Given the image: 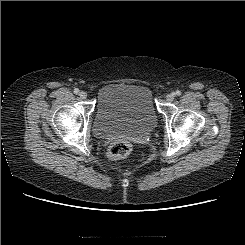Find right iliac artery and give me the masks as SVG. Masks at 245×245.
Returning <instances> with one entry per match:
<instances>
[{
    "instance_id": "right-iliac-artery-1",
    "label": "right iliac artery",
    "mask_w": 245,
    "mask_h": 245,
    "mask_svg": "<svg viewBox=\"0 0 245 245\" xmlns=\"http://www.w3.org/2000/svg\"><path fill=\"white\" fill-rule=\"evenodd\" d=\"M79 92H80V91H79L78 88L74 89V93H75V94H79Z\"/></svg>"
}]
</instances>
